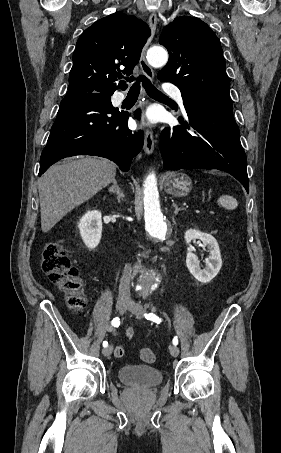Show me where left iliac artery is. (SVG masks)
Masks as SVG:
<instances>
[{"label":"left iliac artery","instance_id":"left-iliac-artery-1","mask_svg":"<svg viewBox=\"0 0 281 453\" xmlns=\"http://www.w3.org/2000/svg\"><path fill=\"white\" fill-rule=\"evenodd\" d=\"M145 317L147 320H151L153 322H156L157 324H159L161 322V319H159V317H157L155 314L153 313H149V314H145ZM173 344L176 346L178 344V339H177V336L174 337L173 339Z\"/></svg>","mask_w":281,"mask_h":453}]
</instances>
